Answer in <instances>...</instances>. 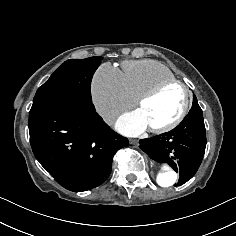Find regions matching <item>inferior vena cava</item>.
Listing matches in <instances>:
<instances>
[{
    "label": "inferior vena cava",
    "instance_id": "602c4592",
    "mask_svg": "<svg viewBox=\"0 0 236 236\" xmlns=\"http://www.w3.org/2000/svg\"><path fill=\"white\" fill-rule=\"evenodd\" d=\"M97 113L103 117L106 122L113 121V118L116 114L113 108L111 107H100L97 109Z\"/></svg>",
    "mask_w": 236,
    "mask_h": 236
}]
</instances>
